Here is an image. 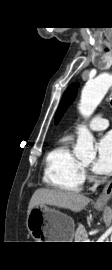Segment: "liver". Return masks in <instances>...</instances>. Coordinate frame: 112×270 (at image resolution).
Here are the masks:
<instances>
[{
    "instance_id": "obj_1",
    "label": "liver",
    "mask_w": 112,
    "mask_h": 270,
    "mask_svg": "<svg viewBox=\"0 0 112 270\" xmlns=\"http://www.w3.org/2000/svg\"><path fill=\"white\" fill-rule=\"evenodd\" d=\"M90 202V198L83 194L63 191L59 189H37L32 195L28 213L38 205H51L59 208L69 209L73 212H80Z\"/></svg>"
}]
</instances>
